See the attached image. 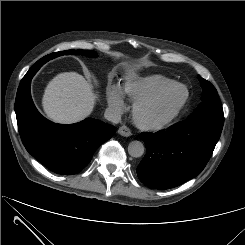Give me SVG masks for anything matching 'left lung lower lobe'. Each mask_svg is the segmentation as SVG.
<instances>
[{
	"label": "left lung lower lobe",
	"instance_id": "obj_1",
	"mask_svg": "<svg viewBox=\"0 0 245 245\" xmlns=\"http://www.w3.org/2000/svg\"><path fill=\"white\" fill-rule=\"evenodd\" d=\"M222 128L211 121L185 120L157 133H142L146 155L137 167L140 181L169 189L196 177L209 161Z\"/></svg>",
	"mask_w": 245,
	"mask_h": 245
}]
</instances>
